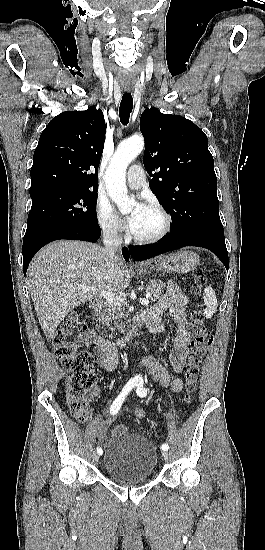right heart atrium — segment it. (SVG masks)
Here are the masks:
<instances>
[{"instance_id":"obj_1","label":"right heart atrium","mask_w":265,"mask_h":550,"mask_svg":"<svg viewBox=\"0 0 265 550\" xmlns=\"http://www.w3.org/2000/svg\"><path fill=\"white\" fill-rule=\"evenodd\" d=\"M96 219L102 232L109 237L117 238L124 232V225L120 217L106 199H98Z\"/></svg>"}]
</instances>
